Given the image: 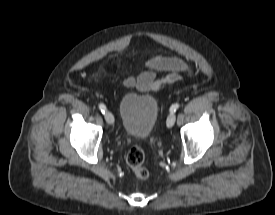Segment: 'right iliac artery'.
I'll use <instances>...</instances> for the list:
<instances>
[{"instance_id":"1","label":"right iliac artery","mask_w":275,"mask_h":215,"mask_svg":"<svg viewBox=\"0 0 275 215\" xmlns=\"http://www.w3.org/2000/svg\"><path fill=\"white\" fill-rule=\"evenodd\" d=\"M99 109H100V111L103 113V114H105V112H106V106L104 105V104H99Z\"/></svg>"}]
</instances>
